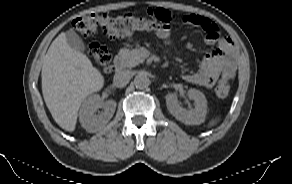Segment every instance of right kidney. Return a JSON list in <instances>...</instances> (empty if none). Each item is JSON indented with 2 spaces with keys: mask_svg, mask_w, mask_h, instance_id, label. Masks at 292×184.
<instances>
[{
  "mask_svg": "<svg viewBox=\"0 0 292 184\" xmlns=\"http://www.w3.org/2000/svg\"><path fill=\"white\" fill-rule=\"evenodd\" d=\"M99 107H102L104 111L96 115L95 112ZM115 109L114 100L101 103L100 96L93 94L83 101L79 111V121L86 131L95 133L108 123L113 117Z\"/></svg>",
  "mask_w": 292,
  "mask_h": 184,
  "instance_id": "ca27d5eb",
  "label": "right kidney"
}]
</instances>
